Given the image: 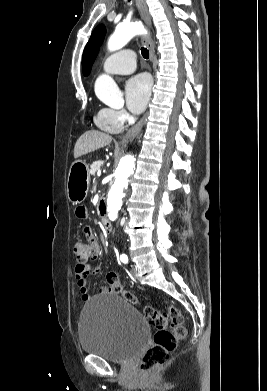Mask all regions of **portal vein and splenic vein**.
I'll list each match as a JSON object with an SVG mask.
<instances>
[{"label":"portal vein and splenic vein","mask_w":267,"mask_h":391,"mask_svg":"<svg viewBox=\"0 0 267 391\" xmlns=\"http://www.w3.org/2000/svg\"><path fill=\"white\" fill-rule=\"evenodd\" d=\"M97 175H98V176H101V171H100V170L97 172Z\"/></svg>","instance_id":"portal-vein-and-splenic-vein-1"}]
</instances>
